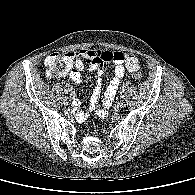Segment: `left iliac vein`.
<instances>
[{"label":"left iliac vein","mask_w":195,"mask_h":195,"mask_svg":"<svg viewBox=\"0 0 195 195\" xmlns=\"http://www.w3.org/2000/svg\"><path fill=\"white\" fill-rule=\"evenodd\" d=\"M115 107H116V109H118V110L124 108V107H125V102H124V100L118 101V102L116 103Z\"/></svg>","instance_id":"obj_1"}]
</instances>
